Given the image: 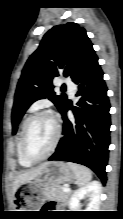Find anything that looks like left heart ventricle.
<instances>
[{"label":"left heart ventricle","instance_id":"left-heart-ventricle-1","mask_svg":"<svg viewBox=\"0 0 123 219\" xmlns=\"http://www.w3.org/2000/svg\"><path fill=\"white\" fill-rule=\"evenodd\" d=\"M55 135L52 120L46 116H39L31 123L27 138L26 150L34 158L41 157L50 148Z\"/></svg>","mask_w":123,"mask_h":219}]
</instances>
